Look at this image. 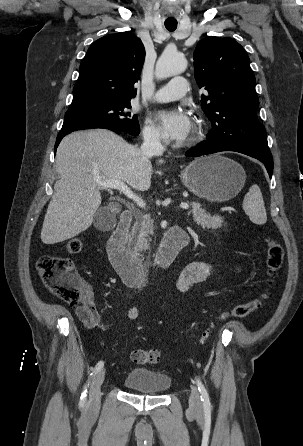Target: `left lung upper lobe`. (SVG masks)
Wrapping results in <instances>:
<instances>
[{"label": "left lung upper lobe", "instance_id": "left-lung-upper-lobe-1", "mask_svg": "<svg viewBox=\"0 0 303 446\" xmlns=\"http://www.w3.org/2000/svg\"><path fill=\"white\" fill-rule=\"evenodd\" d=\"M249 62L243 47L229 37H207L195 49V78L207 91L201 107L212 122L210 144L269 150L265 128L257 118L259 100Z\"/></svg>", "mask_w": 303, "mask_h": 446}]
</instances>
